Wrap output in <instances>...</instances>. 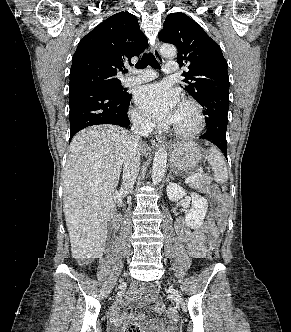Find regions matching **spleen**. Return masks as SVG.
Segmentation results:
<instances>
[{"instance_id": "3e777b00", "label": "spleen", "mask_w": 291, "mask_h": 332, "mask_svg": "<svg viewBox=\"0 0 291 332\" xmlns=\"http://www.w3.org/2000/svg\"><path fill=\"white\" fill-rule=\"evenodd\" d=\"M208 162L212 166L215 181L217 183H225L228 180L226 163L222 154L214 146L208 150Z\"/></svg>"}]
</instances>
